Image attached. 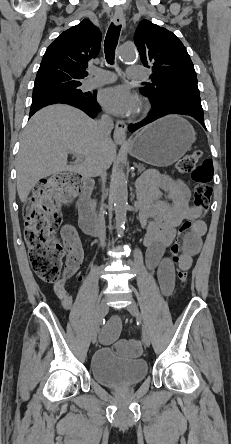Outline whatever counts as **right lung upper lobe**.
<instances>
[{
	"label": "right lung upper lobe",
	"mask_w": 231,
	"mask_h": 444,
	"mask_svg": "<svg viewBox=\"0 0 231 444\" xmlns=\"http://www.w3.org/2000/svg\"><path fill=\"white\" fill-rule=\"evenodd\" d=\"M100 44V31L87 19L64 31L47 48L34 89L80 83L87 74L88 62L98 55Z\"/></svg>",
	"instance_id": "obj_1"
}]
</instances>
